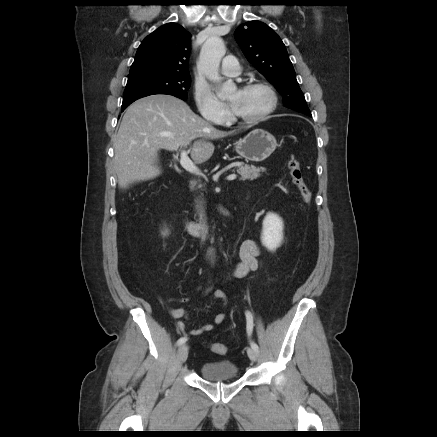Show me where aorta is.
Listing matches in <instances>:
<instances>
[{"label":"aorta","mask_w":437,"mask_h":437,"mask_svg":"<svg viewBox=\"0 0 437 437\" xmlns=\"http://www.w3.org/2000/svg\"><path fill=\"white\" fill-rule=\"evenodd\" d=\"M225 53L226 48L223 40L217 36L211 37L203 44L197 64L199 72L209 80L219 83L220 88L217 91L219 98H226L236 89V85L232 81L221 83L219 66Z\"/></svg>","instance_id":"obj_1"}]
</instances>
